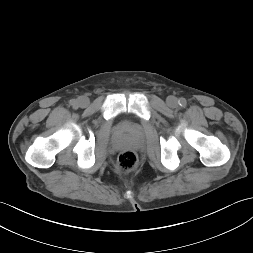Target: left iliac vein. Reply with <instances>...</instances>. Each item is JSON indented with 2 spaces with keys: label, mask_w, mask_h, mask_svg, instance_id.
I'll list each match as a JSON object with an SVG mask.
<instances>
[{
  "label": "left iliac vein",
  "mask_w": 253,
  "mask_h": 253,
  "mask_svg": "<svg viewBox=\"0 0 253 253\" xmlns=\"http://www.w3.org/2000/svg\"><path fill=\"white\" fill-rule=\"evenodd\" d=\"M168 106L175 107L177 106V99L174 96H169L166 100Z\"/></svg>",
  "instance_id": "obj_1"
}]
</instances>
